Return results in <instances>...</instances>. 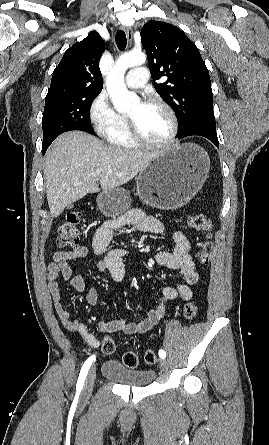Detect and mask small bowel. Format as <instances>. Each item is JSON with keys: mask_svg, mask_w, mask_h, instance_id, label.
I'll list each match as a JSON object with an SVG mask.
<instances>
[{"mask_svg": "<svg viewBox=\"0 0 269 445\" xmlns=\"http://www.w3.org/2000/svg\"><path fill=\"white\" fill-rule=\"evenodd\" d=\"M127 225L141 232L160 234L164 231V225L161 221L146 215L139 209L131 210L128 214L116 220L104 222L97 228L92 247L94 253L102 256V259L96 263V270L101 274L110 275L117 283L122 282L125 277L123 260L126 251L122 248L111 250H107V248L114 235ZM172 238L175 243L174 250L158 252L155 255V261L160 266L178 271L183 283L177 287L167 286L162 288L159 303L151 308L143 320L139 322H130L126 319L101 320L98 323L101 332L145 333L164 317L167 302L177 299L190 300L192 298L193 291L191 286L199 281V272L190 253V242L181 230H174ZM87 253L88 248L84 245L79 246L73 252H56L53 260L48 264L47 286L57 315L65 329L69 332L79 333L89 346L98 348L101 344L100 340L89 332L84 323L72 319L70 313L64 307L57 282L58 278L61 277L71 285L76 293H81L84 290V280L81 276L73 274L71 262L85 257ZM99 298L100 292L97 289L89 290L86 295V301L91 306L95 305Z\"/></svg>", "mask_w": 269, "mask_h": 445, "instance_id": "small-bowel-1", "label": "small bowel"}]
</instances>
